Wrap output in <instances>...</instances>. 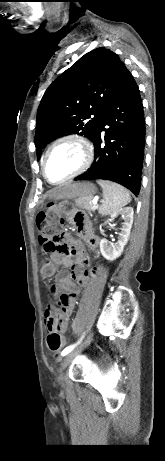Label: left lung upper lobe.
I'll return each mask as SVG.
<instances>
[{"label": "left lung upper lobe", "instance_id": "obj_1", "mask_svg": "<svg viewBox=\"0 0 165 461\" xmlns=\"http://www.w3.org/2000/svg\"><path fill=\"white\" fill-rule=\"evenodd\" d=\"M126 71L116 53L98 48L53 81L37 111L34 142L38 158L41 149L60 136L79 134L93 140Z\"/></svg>", "mask_w": 165, "mask_h": 461}]
</instances>
